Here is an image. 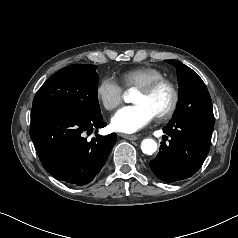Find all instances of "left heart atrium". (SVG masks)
Listing matches in <instances>:
<instances>
[{"instance_id": "obj_1", "label": "left heart atrium", "mask_w": 238, "mask_h": 238, "mask_svg": "<svg viewBox=\"0 0 238 238\" xmlns=\"http://www.w3.org/2000/svg\"><path fill=\"white\" fill-rule=\"evenodd\" d=\"M156 114L146 104L139 103L120 108L112 117L111 125L116 131L135 133L147 126Z\"/></svg>"}]
</instances>
